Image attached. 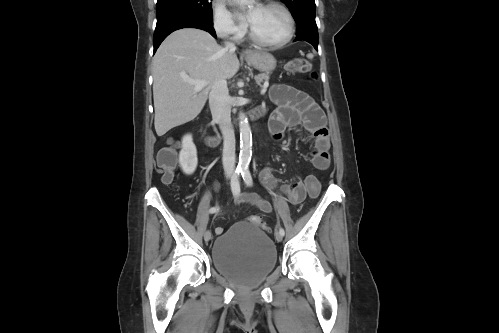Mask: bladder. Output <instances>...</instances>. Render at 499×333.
<instances>
[{
  "label": "bladder",
  "mask_w": 499,
  "mask_h": 333,
  "mask_svg": "<svg viewBox=\"0 0 499 333\" xmlns=\"http://www.w3.org/2000/svg\"><path fill=\"white\" fill-rule=\"evenodd\" d=\"M212 264L222 275L242 286H253L277 266V250L270 236L256 224L240 221L218 236Z\"/></svg>",
  "instance_id": "1"
}]
</instances>
